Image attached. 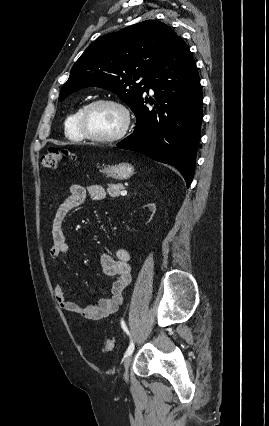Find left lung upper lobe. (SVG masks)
<instances>
[{
	"instance_id": "left-lung-upper-lobe-1",
	"label": "left lung upper lobe",
	"mask_w": 269,
	"mask_h": 426,
	"mask_svg": "<svg viewBox=\"0 0 269 426\" xmlns=\"http://www.w3.org/2000/svg\"><path fill=\"white\" fill-rule=\"evenodd\" d=\"M178 37L168 25L146 20L97 39L72 67L59 100L94 86L117 94L133 110L148 91L152 71Z\"/></svg>"
}]
</instances>
